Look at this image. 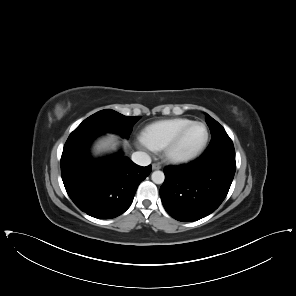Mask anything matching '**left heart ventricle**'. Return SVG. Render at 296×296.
Wrapping results in <instances>:
<instances>
[{
  "label": "left heart ventricle",
  "instance_id": "1",
  "mask_svg": "<svg viewBox=\"0 0 296 296\" xmlns=\"http://www.w3.org/2000/svg\"><path fill=\"white\" fill-rule=\"evenodd\" d=\"M204 129L200 125L190 127L181 137L176 145L174 152L176 154H189L194 152L204 139Z\"/></svg>",
  "mask_w": 296,
  "mask_h": 296
}]
</instances>
